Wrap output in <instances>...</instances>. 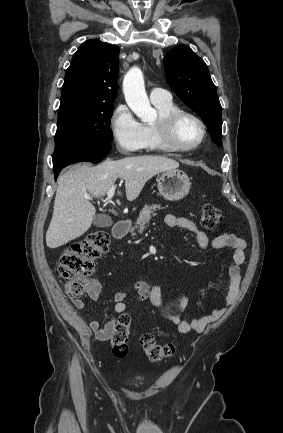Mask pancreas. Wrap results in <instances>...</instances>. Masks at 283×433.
I'll return each mask as SVG.
<instances>
[{
    "label": "pancreas",
    "instance_id": "pancreas-1",
    "mask_svg": "<svg viewBox=\"0 0 283 433\" xmlns=\"http://www.w3.org/2000/svg\"><path fill=\"white\" fill-rule=\"evenodd\" d=\"M156 208H161V204H151V206H149V204H144L142 210H140V214L135 223V227H132V229H130L132 237L133 235H136V233H134L135 229H138V233H143L145 225L149 223L152 217H156V212H154Z\"/></svg>",
    "mask_w": 283,
    "mask_h": 433
}]
</instances>
